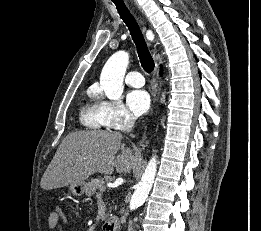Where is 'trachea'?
Here are the masks:
<instances>
[{
  "instance_id": "3493384b",
  "label": "trachea",
  "mask_w": 261,
  "mask_h": 231,
  "mask_svg": "<svg viewBox=\"0 0 261 231\" xmlns=\"http://www.w3.org/2000/svg\"><path fill=\"white\" fill-rule=\"evenodd\" d=\"M112 1L115 3L120 17L123 19L130 31L143 69L149 74L152 73L155 64L135 18L132 16L122 0Z\"/></svg>"
}]
</instances>
